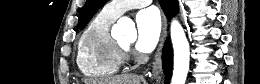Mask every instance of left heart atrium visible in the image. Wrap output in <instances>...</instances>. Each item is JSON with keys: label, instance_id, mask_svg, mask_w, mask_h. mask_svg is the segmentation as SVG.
I'll list each match as a JSON object with an SVG mask.
<instances>
[{"label": "left heart atrium", "instance_id": "left-heart-atrium-1", "mask_svg": "<svg viewBox=\"0 0 260 84\" xmlns=\"http://www.w3.org/2000/svg\"><path fill=\"white\" fill-rule=\"evenodd\" d=\"M138 38L136 48L139 52L149 53L157 45L161 34V18L156 8H147L137 15Z\"/></svg>", "mask_w": 260, "mask_h": 84}]
</instances>
